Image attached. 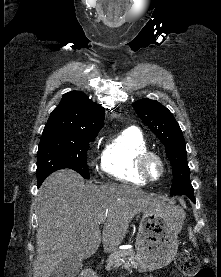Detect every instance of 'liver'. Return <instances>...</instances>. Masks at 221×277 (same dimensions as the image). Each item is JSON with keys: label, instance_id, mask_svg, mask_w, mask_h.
Here are the masks:
<instances>
[{"label": "liver", "instance_id": "liver-1", "mask_svg": "<svg viewBox=\"0 0 221 277\" xmlns=\"http://www.w3.org/2000/svg\"><path fill=\"white\" fill-rule=\"evenodd\" d=\"M37 256L33 277H49L67 258L87 259L98 250L115 251L129 223L140 212L167 210L161 199L122 185L85 184L75 171L54 172L42 183L37 196ZM105 218L102 237L100 219Z\"/></svg>", "mask_w": 221, "mask_h": 277}]
</instances>
